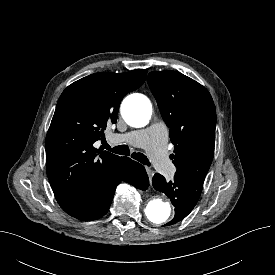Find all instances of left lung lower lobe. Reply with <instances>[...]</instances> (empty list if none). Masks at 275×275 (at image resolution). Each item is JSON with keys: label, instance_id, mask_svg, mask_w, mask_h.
Segmentation results:
<instances>
[{"label": "left lung lower lobe", "instance_id": "obj_1", "mask_svg": "<svg viewBox=\"0 0 275 275\" xmlns=\"http://www.w3.org/2000/svg\"><path fill=\"white\" fill-rule=\"evenodd\" d=\"M153 187L165 193L175 207V217L167 225L175 224L184 219L194 208L200 197L203 182L188 176L174 175L173 180L166 181L156 173L153 177Z\"/></svg>", "mask_w": 275, "mask_h": 275}]
</instances>
